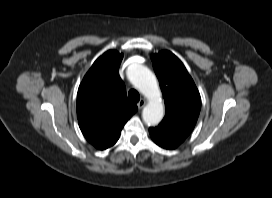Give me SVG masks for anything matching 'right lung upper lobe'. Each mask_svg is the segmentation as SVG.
<instances>
[{"mask_svg":"<svg viewBox=\"0 0 272 198\" xmlns=\"http://www.w3.org/2000/svg\"><path fill=\"white\" fill-rule=\"evenodd\" d=\"M123 54L109 50L100 56L83 78L77 94V118L85 138L97 149L118 140L137 106L127 99L119 76Z\"/></svg>","mask_w":272,"mask_h":198,"instance_id":"cb5924a9","label":"right lung upper lobe"}]
</instances>
